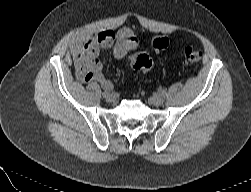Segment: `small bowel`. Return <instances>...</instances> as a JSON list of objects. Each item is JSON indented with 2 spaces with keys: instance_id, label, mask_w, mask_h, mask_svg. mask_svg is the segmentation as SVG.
<instances>
[{
  "instance_id": "obj_1",
  "label": "small bowel",
  "mask_w": 251,
  "mask_h": 192,
  "mask_svg": "<svg viewBox=\"0 0 251 192\" xmlns=\"http://www.w3.org/2000/svg\"><path fill=\"white\" fill-rule=\"evenodd\" d=\"M136 45V38L127 28L121 29L117 33L104 30L87 38L83 44L77 43L74 46L77 78L82 82L98 81L103 88L110 89L112 83L104 76L103 66L97 59L99 50L113 47L114 56L122 59Z\"/></svg>"
}]
</instances>
